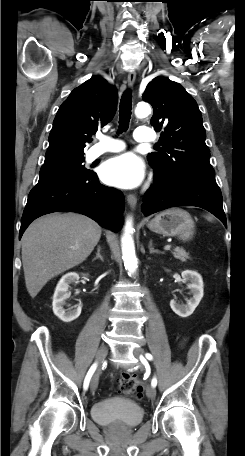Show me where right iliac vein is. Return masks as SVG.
<instances>
[{
  "instance_id": "1",
  "label": "right iliac vein",
  "mask_w": 245,
  "mask_h": 456,
  "mask_svg": "<svg viewBox=\"0 0 245 456\" xmlns=\"http://www.w3.org/2000/svg\"><path fill=\"white\" fill-rule=\"evenodd\" d=\"M107 355V348L105 346H101L100 349L98 350L97 356H96V361L99 365L104 361L105 357ZM98 379H99V370L96 371V373L93 375L91 383H90V388L92 392H95L98 386Z\"/></svg>"
}]
</instances>
